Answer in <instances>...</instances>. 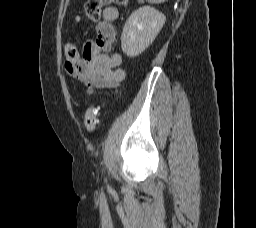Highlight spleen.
Wrapping results in <instances>:
<instances>
[{"label": "spleen", "mask_w": 256, "mask_h": 228, "mask_svg": "<svg viewBox=\"0 0 256 228\" xmlns=\"http://www.w3.org/2000/svg\"><path fill=\"white\" fill-rule=\"evenodd\" d=\"M147 2H149V3H162V2H165V1H167V0H146Z\"/></svg>", "instance_id": "spleen-1"}]
</instances>
